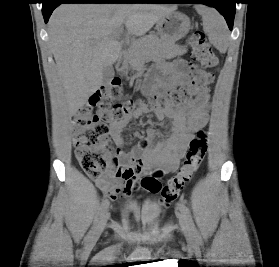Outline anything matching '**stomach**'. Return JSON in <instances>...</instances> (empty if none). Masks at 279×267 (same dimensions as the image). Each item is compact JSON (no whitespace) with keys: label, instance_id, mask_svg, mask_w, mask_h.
<instances>
[{"label":"stomach","instance_id":"stomach-1","mask_svg":"<svg viewBox=\"0 0 279 267\" xmlns=\"http://www.w3.org/2000/svg\"><path fill=\"white\" fill-rule=\"evenodd\" d=\"M156 28L163 42L173 44L188 33L190 20L183 13L171 11L157 21Z\"/></svg>","mask_w":279,"mask_h":267}]
</instances>
